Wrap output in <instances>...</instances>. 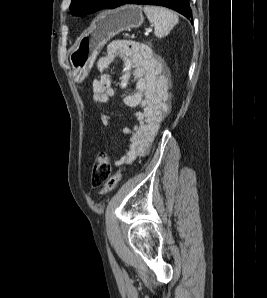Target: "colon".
Segmentation results:
<instances>
[{"label": "colon", "mask_w": 267, "mask_h": 298, "mask_svg": "<svg viewBox=\"0 0 267 298\" xmlns=\"http://www.w3.org/2000/svg\"><path fill=\"white\" fill-rule=\"evenodd\" d=\"M123 171L124 169L121 168L110 176V158L105 151H100L97 153L92 167V186L102 187L101 194L106 195L118 185Z\"/></svg>", "instance_id": "obj_1"}]
</instances>
